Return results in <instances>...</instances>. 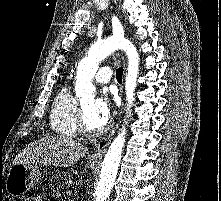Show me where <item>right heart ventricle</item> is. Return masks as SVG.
<instances>
[{"mask_svg": "<svg viewBox=\"0 0 221 201\" xmlns=\"http://www.w3.org/2000/svg\"><path fill=\"white\" fill-rule=\"evenodd\" d=\"M78 104L69 87L61 88L56 94L50 112V125L59 136L73 138L78 135Z\"/></svg>", "mask_w": 221, "mask_h": 201, "instance_id": "e07e8e85", "label": "right heart ventricle"}]
</instances>
